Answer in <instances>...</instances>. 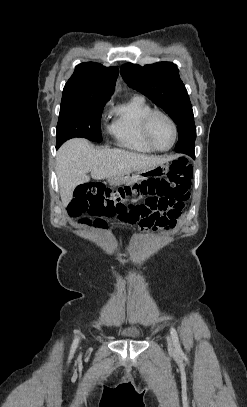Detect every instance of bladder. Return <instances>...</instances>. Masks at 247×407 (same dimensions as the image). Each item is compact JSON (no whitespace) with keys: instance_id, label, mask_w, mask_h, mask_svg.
Masks as SVG:
<instances>
[{"instance_id":"obj_1","label":"bladder","mask_w":247,"mask_h":407,"mask_svg":"<svg viewBox=\"0 0 247 407\" xmlns=\"http://www.w3.org/2000/svg\"><path fill=\"white\" fill-rule=\"evenodd\" d=\"M118 335L131 340H139L142 337V332L138 328L130 327L118 330Z\"/></svg>"}]
</instances>
